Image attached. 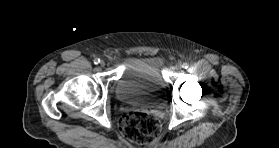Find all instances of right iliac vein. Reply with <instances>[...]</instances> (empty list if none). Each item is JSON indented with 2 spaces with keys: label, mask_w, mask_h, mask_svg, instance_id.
<instances>
[{
  "label": "right iliac vein",
  "mask_w": 279,
  "mask_h": 148,
  "mask_svg": "<svg viewBox=\"0 0 279 148\" xmlns=\"http://www.w3.org/2000/svg\"><path fill=\"white\" fill-rule=\"evenodd\" d=\"M100 65H101V67H104V66H105V62H104V61H101V62H100Z\"/></svg>",
  "instance_id": "obj_1"
}]
</instances>
